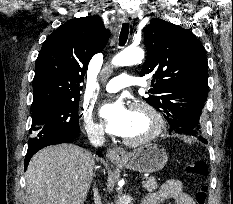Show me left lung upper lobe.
<instances>
[{"label": "left lung upper lobe", "mask_w": 233, "mask_h": 204, "mask_svg": "<svg viewBox=\"0 0 233 204\" xmlns=\"http://www.w3.org/2000/svg\"><path fill=\"white\" fill-rule=\"evenodd\" d=\"M148 54L141 76H149L153 89L148 104L170 124V133L202 136L200 117L208 95V62L201 42L187 29L159 18L144 28ZM194 114L191 124L179 117Z\"/></svg>", "instance_id": "left-lung-upper-lobe-1"}]
</instances>
